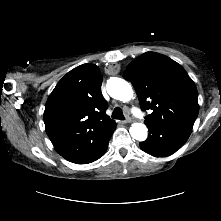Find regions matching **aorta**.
Returning <instances> with one entry per match:
<instances>
[{
  "label": "aorta",
  "mask_w": 221,
  "mask_h": 221,
  "mask_svg": "<svg viewBox=\"0 0 221 221\" xmlns=\"http://www.w3.org/2000/svg\"><path fill=\"white\" fill-rule=\"evenodd\" d=\"M108 94L119 101L128 102L133 98V90L131 85L121 78H112L107 83ZM130 135L138 141H145L148 135V130L143 123H133L130 127Z\"/></svg>",
  "instance_id": "1"
}]
</instances>
